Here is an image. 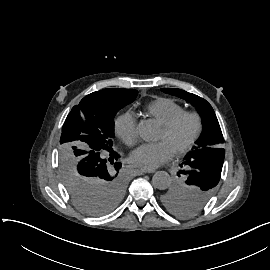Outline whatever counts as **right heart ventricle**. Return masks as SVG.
<instances>
[{
	"mask_svg": "<svg viewBox=\"0 0 270 270\" xmlns=\"http://www.w3.org/2000/svg\"><path fill=\"white\" fill-rule=\"evenodd\" d=\"M147 112L162 125L184 112V107L168 98H157L147 106Z\"/></svg>",
	"mask_w": 270,
	"mask_h": 270,
	"instance_id": "e07e8e85",
	"label": "right heart ventricle"
}]
</instances>
